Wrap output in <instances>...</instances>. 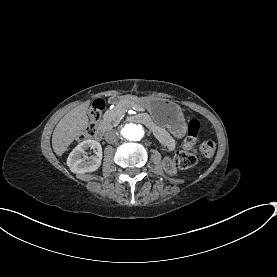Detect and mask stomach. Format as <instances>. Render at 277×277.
I'll return each mask as SVG.
<instances>
[{"label": "stomach", "instance_id": "obj_1", "mask_svg": "<svg viewBox=\"0 0 277 277\" xmlns=\"http://www.w3.org/2000/svg\"><path fill=\"white\" fill-rule=\"evenodd\" d=\"M133 101L142 109H147L158 124L169 130L176 131L185 123L181 107L174 102L154 97L133 98Z\"/></svg>", "mask_w": 277, "mask_h": 277}]
</instances>
